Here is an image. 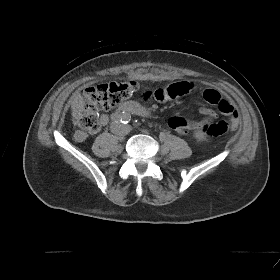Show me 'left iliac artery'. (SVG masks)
<instances>
[{
    "instance_id": "44dca946",
    "label": "left iliac artery",
    "mask_w": 280,
    "mask_h": 280,
    "mask_svg": "<svg viewBox=\"0 0 280 280\" xmlns=\"http://www.w3.org/2000/svg\"><path fill=\"white\" fill-rule=\"evenodd\" d=\"M122 120H123L124 123H128L131 120L130 114L123 112Z\"/></svg>"
}]
</instances>
